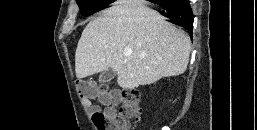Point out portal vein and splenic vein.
Masks as SVG:
<instances>
[{
    "label": "portal vein and splenic vein",
    "mask_w": 257,
    "mask_h": 130,
    "mask_svg": "<svg viewBox=\"0 0 257 130\" xmlns=\"http://www.w3.org/2000/svg\"><path fill=\"white\" fill-rule=\"evenodd\" d=\"M125 55H126V56H130V53H126Z\"/></svg>",
    "instance_id": "obj_1"
}]
</instances>
